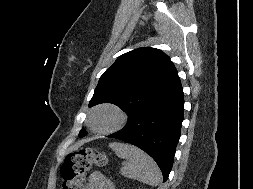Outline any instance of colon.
Instances as JSON below:
<instances>
[{
	"label": "colon",
	"instance_id": "colon-1",
	"mask_svg": "<svg viewBox=\"0 0 253 189\" xmlns=\"http://www.w3.org/2000/svg\"><path fill=\"white\" fill-rule=\"evenodd\" d=\"M106 157L93 148L69 153L61 167L63 189H84L87 173L94 166H105Z\"/></svg>",
	"mask_w": 253,
	"mask_h": 189
}]
</instances>
